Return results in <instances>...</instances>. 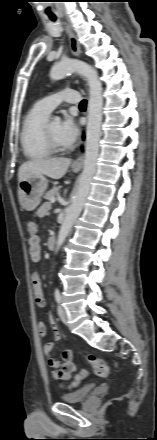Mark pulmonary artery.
Returning <instances> with one entry per match:
<instances>
[{
    "mask_svg": "<svg viewBox=\"0 0 157 440\" xmlns=\"http://www.w3.org/2000/svg\"><path fill=\"white\" fill-rule=\"evenodd\" d=\"M80 100V95L74 90H62L44 97L36 103L37 109L49 115L60 103H77Z\"/></svg>",
    "mask_w": 157,
    "mask_h": 440,
    "instance_id": "pulmonary-artery-1",
    "label": "pulmonary artery"
}]
</instances>
